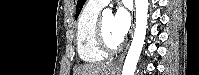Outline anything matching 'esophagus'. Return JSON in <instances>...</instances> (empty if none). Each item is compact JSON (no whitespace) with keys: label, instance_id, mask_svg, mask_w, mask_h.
Returning a JSON list of instances; mask_svg holds the SVG:
<instances>
[{"label":"esophagus","instance_id":"esophagus-1","mask_svg":"<svg viewBox=\"0 0 199 75\" xmlns=\"http://www.w3.org/2000/svg\"><path fill=\"white\" fill-rule=\"evenodd\" d=\"M132 22H133V28H134V25H135V11L132 12ZM126 52H127V49L118 58L117 63H116L117 66H121L122 65L123 60H124L125 55H126Z\"/></svg>","mask_w":199,"mask_h":75}]
</instances>
